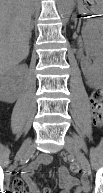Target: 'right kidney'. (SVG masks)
<instances>
[{
	"mask_svg": "<svg viewBox=\"0 0 103 193\" xmlns=\"http://www.w3.org/2000/svg\"><path fill=\"white\" fill-rule=\"evenodd\" d=\"M27 69L26 65L16 66L7 72H1L0 76V100L13 103L18 98L20 90L19 76Z\"/></svg>",
	"mask_w": 103,
	"mask_h": 193,
	"instance_id": "obj_1",
	"label": "right kidney"
}]
</instances>
